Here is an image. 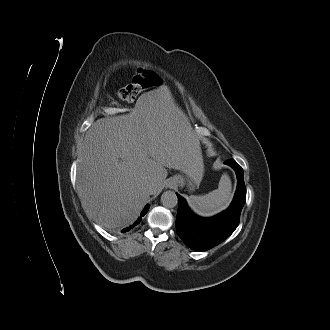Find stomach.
Wrapping results in <instances>:
<instances>
[{
    "instance_id": "obj_1",
    "label": "stomach",
    "mask_w": 330,
    "mask_h": 330,
    "mask_svg": "<svg viewBox=\"0 0 330 330\" xmlns=\"http://www.w3.org/2000/svg\"><path fill=\"white\" fill-rule=\"evenodd\" d=\"M204 174V163L201 152L190 159L183 174L175 176L180 187L187 186L190 191L199 186Z\"/></svg>"
}]
</instances>
